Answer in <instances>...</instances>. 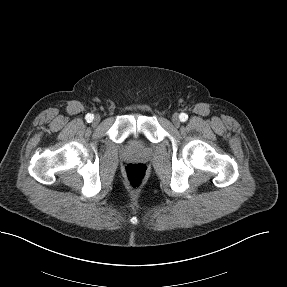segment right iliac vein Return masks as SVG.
Returning <instances> with one entry per match:
<instances>
[{"mask_svg":"<svg viewBox=\"0 0 287 287\" xmlns=\"http://www.w3.org/2000/svg\"><path fill=\"white\" fill-rule=\"evenodd\" d=\"M100 122V116L96 115L93 120V124L97 125Z\"/></svg>","mask_w":287,"mask_h":287,"instance_id":"63e3f726","label":"right iliac vein"}]
</instances>
